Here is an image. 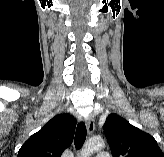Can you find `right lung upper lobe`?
<instances>
[{"instance_id":"cb5924a9","label":"right lung upper lobe","mask_w":164,"mask_h":157,"mask_svg":"<svg viewBox=\"0 0 164 157\" xmlns=\"http://www.w3.org/2000/svg\"><path fill=\"white\" fill-rule=\"evenodd\" d=\"M75 126L69 114L56 115L22 145L17 157H61L74 138Z\"/></svg>"}]
</instances>
